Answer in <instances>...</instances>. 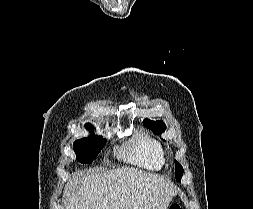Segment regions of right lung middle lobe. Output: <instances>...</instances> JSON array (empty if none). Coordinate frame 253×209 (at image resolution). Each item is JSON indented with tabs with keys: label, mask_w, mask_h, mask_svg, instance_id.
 <instances>
[{
	"label": "right lung middle lobe",
	"mask_w": 253,
	"mask_h": 209,
	"mask_svg": "<svg viewBox=\"0 0 253 209\" xmlns=\"http://www.w3.org/2000/svg\"><path fill=\"white\" fill-rule=\"evenodd\" d=\"M86 128L93 130L91 124H86ZM106 139L89 137L76 140L73 148L76 153V159L84 164H90L97 157L101 149L104 147Z\"/></svg>",
	"instance_id": "obj_1"
}]
</instances>
